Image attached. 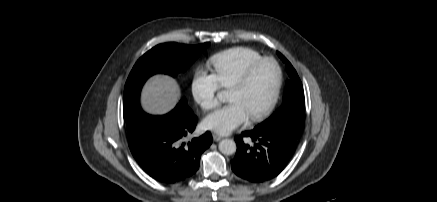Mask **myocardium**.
I'll list each match as a JSON object with an SVG mask.
<instances>
[{"instance_id": "myocardium-1", "label": "myocardium", "mask_w": 437, "mask_h": 202, "mask_svg": "<svg viewBox=\"0 0 437 202\" xmlns=\"http://www.w3.org/2000/svg\"><path fill=\"white\" fill-rule=\"evenodd\" d=\"M265 62H270L275 66L276 72H277L276 84H275L274 91H273V94H272L269 102L266 104V106L261 111H259L255 115L249 117L250 122H258V121H261L264 118H266L270 114V112L273 110V108L275 107V105L278 101L281 87H282V82H283V71H282V68H281L279 62L276 59H274L273 57H261L255 61H253L252 63H250L246 67V69L243 71V73L236 79V81L230 87V89L244 87L251 79L256 68Z\"/></svg>"}]
</instances>
